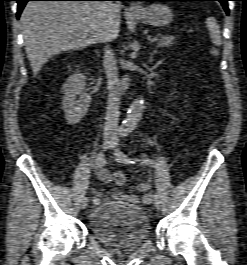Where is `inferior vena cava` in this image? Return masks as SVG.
I'll use <instances>...</instances> for the list:
<instances>
[{
	"label": "inferior vena cava",
	"mask_w": 247,
	"mask_h": 265,
	"mask_svg": "<svg viewBox=\"0 0 247 265\" xmlns=\"http://www.w3.org/2000/svg\"><path fill=\"white\" fill-rule=\"evenodd\" d=\"M103 65L108 85V103L104 123V132L105 135H112L118 130L120 92L118 67L116 64L115 54L108 45L104 49Z\"/></svg>",
	"instance_id": "obj_1"
}]
</instances>
